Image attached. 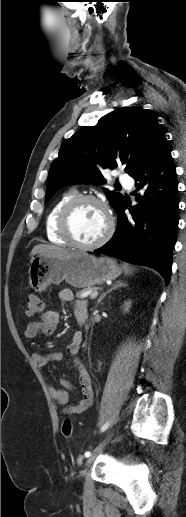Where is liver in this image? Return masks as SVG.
<instances>
[{
	"label": "liver",
	"mask_w": 186,
	"mask_h": 517,
	"mask_svg": "<svg viewBox=\"0 0 186 517\" xmlns=\"http://www.w3.org/2000/svg\"><path fill=\"white\" fill-rule=\"evenodd\" d=\"M81 252L77 251H70L58 246H52V245H45V244H39L36 245L32 251L31 255L39 254L41 256H47V257H56V258H71L74 256L79 255Z\"/></svg>",
	"instance_id": "6515ba94"
}]
</instances>
